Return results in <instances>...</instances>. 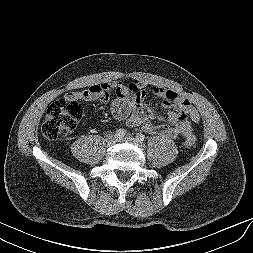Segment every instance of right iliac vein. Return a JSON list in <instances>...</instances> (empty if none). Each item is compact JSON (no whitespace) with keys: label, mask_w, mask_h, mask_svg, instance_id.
Segmentation results:
<instances>
[{"label":"right iliac vein","mask_w":253,"mask_h":253,"mask_svg":"<svg viewBox=\"0 0 253 253\" xmlns=\"http://www.w3.org/2000/svg\"><path fill=\"white\" fill-rule=\"evenodd\" d=\"M118 142V138L116 135H110L108 138H107V144L109 146H113L115 145L116 143Z\"/></svg>","instance_id":"obj_1"}]
</instances>
